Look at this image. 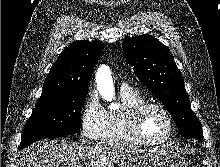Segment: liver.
I'll use <instances>...</instances> for the list:
<instances>
[{
  "label": "liver",
  "instance_id": "1",
  "mask_svg": "<svg viewBox=\"0 0 220 167\" xmlns=\"http://www.w3.org/2000/svg\"><path fill=\"white\" fill-rule=\"evenodd\" d=\"M129 150L78 145L64 140H41L22 151L20 167H114Z\"/></svg>",
  "mask_w": 220,
  "mask_h": 167
}]
</instances>
